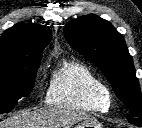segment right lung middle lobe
<instances>
[{"label":"right lung middle lobe","instance_id":"dd1d6c3e","mask_svg":"<svg viewBox=\"0 0 142 128\" xmlns=\"http://www.w3.org/2000/svg\"><path fill=\"white\" fill-rule=\"evenodd\" d=\"M40 59L21 68L14 76H0V114L9 112L17 100L33 89Z\"/></svg>","mask_w":142,"mask_h":128}]
</instances>
